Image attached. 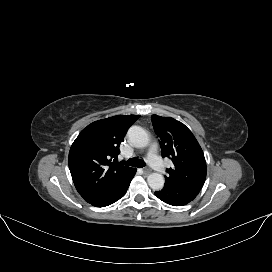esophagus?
Listing matches in <instances>:
<instances>
[{
    "label": "esophagus",
    "instance_id": "1",
    "mask_svg": "<svg viewBox=\"0 0 272 272\" xmlns=\"http://www.w3.org/2000/svg\"><path fill=\"white\" fill-rule=\"evenodd\" d=\"M144 174H149L151 172V169L145 168L143 169Z\"/></svg>",
    "mask_w": 272,
    "mask_h": 272
}]
</instances>
